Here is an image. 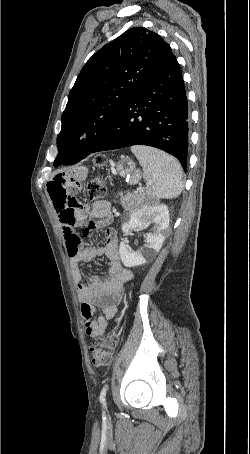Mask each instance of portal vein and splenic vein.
Listing matches in <instances>:
<instances>
[{"mask_svg": "<svg viewBox=\"0 0 250 454\" xmlns=\"http://www.w3.org/2000/svg\"><path fill=\"white\" fill-rule=\"evenodd\" d=\"M138 190H139V191H143V188H139Z\"/></svg>", "mask_w": 250, "mask_h": 454, "instance_id": "18ae733b", "label": "portal vein and splenic vein"}]
</instances>
